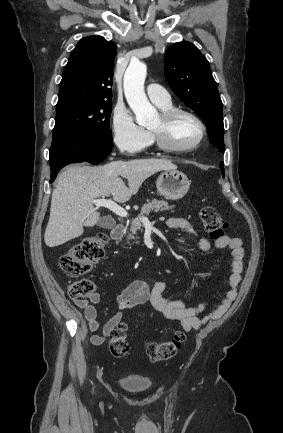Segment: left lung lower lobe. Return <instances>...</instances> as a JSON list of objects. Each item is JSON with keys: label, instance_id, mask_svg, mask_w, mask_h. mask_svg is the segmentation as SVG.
I'll list each match as a JSON object with an SVG mask.
<instances>
[{"label": "left lung lower lobe", "instance_id": "left-lung-lower-lobe-1", "mask_svg": "<svg viewBox=\"0 0 283 433\" xmlns=\"http://www.w3.org/2000/svg\"><path fill=\"white\" fill-rule=\"evenodd\" d=\"M219 167H220L221 172H222V175H223V177H224V176H225V175H224V163H223V162H220Z\"/></svg>", "mask_w": 283, "mask_h": 433}]
</instances>
